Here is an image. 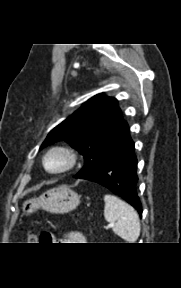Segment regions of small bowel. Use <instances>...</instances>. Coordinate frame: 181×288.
<instances>
[{"label":"small bowel","instance_id":"c3829d8e","mask_svg":"<svg viewBox=\"0 0 181 288\" xmlns=\"http://www.w3.org/2000/svg\"><path fill=\"white\" fill-rule=\"evenodd\" d=\"M48 235H49L48 238L49 242L86 243L87 241V238L78 231L69 232L68 234L61 237L55 236L51 233H48Z\"/></svg>","mask_w":181,"mask_h":288}]
</instances>
